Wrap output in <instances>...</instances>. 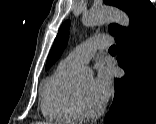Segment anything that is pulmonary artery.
<instances>
[{
	"label": "pulmonary artery",
	"mask_w": 156,
	"mask_h": 124,
	"mask_svg": "<svg viewBox=\"0 0 156 124\" xmlns=\"http://www.w3.org/2000/svg\"><path fill=\"white\" fill-rule=\"evenodd\" d=\"M109 46H111L110 36H94L73 49L63 61L71 66L81 67L88 63L97 50L104 49Z\"/></svg>",
	"instance_id": "obj_1"
}]
</instances>
